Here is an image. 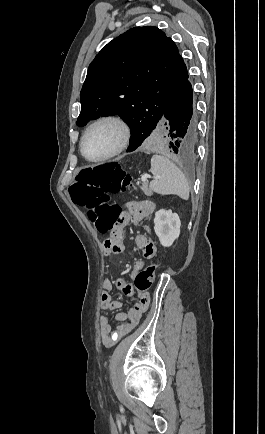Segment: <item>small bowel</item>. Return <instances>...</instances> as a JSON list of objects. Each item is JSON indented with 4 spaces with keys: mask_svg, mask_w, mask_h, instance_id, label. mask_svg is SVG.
Instances as JSON below:
<instances>
[{
    "mask_svg": "<svg viewBox=\"0 0 265 434\" xmlns=\"http://www.w3.org/2000/svg\"><path fill=\"white\" fill-rule=\"evenodd\" d=\"M155 211V204L151 201H130L126 203L125 210L114 228L110 236L103 242V251L106 256L118 255L123 252L125 245L123 241V229L129 224L133 223L141 226L147 232L146 234H139L135 237V244L141 251L143 260L135 262L133 275L130 276L131 280L136 279L138 271L145 267V260L152 259L156 254V246L148 234L151 233V227L146 223ZM135 274V275H134ZM116 287L121 293L127 296H132L134 290L132 286L122 277H118L112 282L110 279L105 278L102 281V292L100 296V306L105 311H114L121 307L122 303L113 299L111 291ZM141 310L136 305L127 312H118L114 319L116 322L115 328L110 323V319L106 315L99 317V335L101 343L104 347H112L119 339L126 335L135 325L140 321L143 312L148 308L147 296L142 298ZM136 320V323H132Z\"/></svg>",
    "mask_w": 265,
    "mask_h": 434,
    "instance_id": "c3829d8e",
    "label": "small bowel"
}]
</instances>
